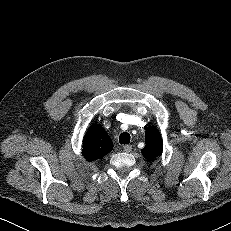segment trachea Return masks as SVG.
<instances>
[{"mask_svg":"<svg viewBox=\"0 0 231 231\" xmlns=\"http://www.w3.org/2000/svg\"><path fill=\"white\" fill-rule=\"evenodd\" d=\"M130 139H131V137H130V134L129 133H127V132H123V133H121V135L119 136V142L121 143V144H129L130 143Z\"/></svg>","mask_w":231,"mask_h":231,"instance_id":"obj_1","label":"trachea"}]
</instances>
